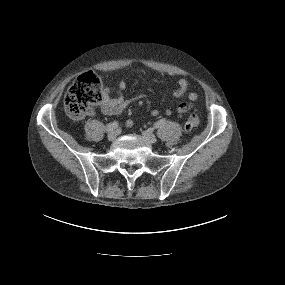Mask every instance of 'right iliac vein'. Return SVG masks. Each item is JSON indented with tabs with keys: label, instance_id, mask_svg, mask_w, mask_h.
Here are the masks:
<instances>
[{
	"label": "right iliac vein",
	"instance_id": "obj_1",
	"mask_svg": "<svg viewBox=\"0 0 285 285\" xmlns=\"http://www.w3.org/2000/svg\"><path fill=\"white\" fill-rule=\"evenodd\" d=\"M108 140L109 141H113V140H115L116 139V137H117V133H116V131H111L109 134H108Z\"/></svg>",
	"mask_w": 285,
	"mask_h": 285
}]
</instances>
